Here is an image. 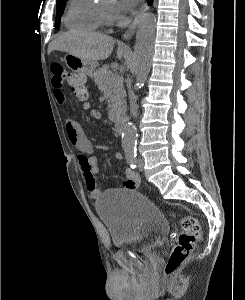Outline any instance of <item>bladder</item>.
<instances>
[{"instance_id": "1", "label": "bladder", "mask_w": 245, "mask_h": 300, "mask_svg": "<svg viewBox=\"0 0 245 300\" xmlns=\"http://www.w3.org/2000/svg\"><path fill=\"white\" fill-rule=\"evenodd\" d=\"M96 210L104 222L114 248L151 253L167 239L170 226L143 194L131 189H114L102 194Z\"/></svg>"}]
</instances>
